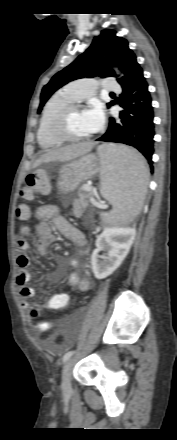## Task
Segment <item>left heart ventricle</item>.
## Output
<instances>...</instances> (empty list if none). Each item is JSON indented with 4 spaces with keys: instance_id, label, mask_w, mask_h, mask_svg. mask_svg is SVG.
<instances>
[{
    "instance_id": "obj_1",
    "label": "left heart ventricle",
    "mask_w": 177,
    "mask_h": 440,
    "mask_svg": "<svg viewBox=\"0 0 177 440\" xmlns=\"http://www.w3.org/2000/svg\"><path fill=\"white\" fill-rule=\"evenodd\" d=\"M66 131L72 137H85L90 135L83 111H73L70 113L66 121Z\"/></svg>"
}]
</instances>
